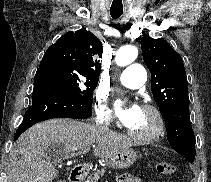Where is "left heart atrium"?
<instances>
[{
  "instance_id": "obj_1",
  "label": "left heart atrium",
  "mask_w": 211,
  "mask_h": 182,
  "mask_svg": "<svg viewBox=\"0 0 211 182\" xmlns=\"http://www.w3.org/2000/svg\"><path fill=\"white\" fill-rule=\"evenodd\" d=\"M116 111L119 119L125 126L132 125L138 118L141 108L137 104L123 106L120 101L116 102Z\"/></svg>"
}]
</instances>
